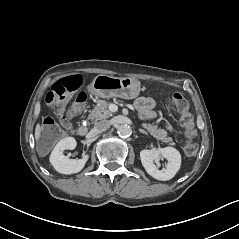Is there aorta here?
<instances>
[{
	"label": "aorta",
	"mask_w": 239,
	"mask_h": 239,
	"mask_svg": "<svg viewBox=\"0 0 239 239\" xmlns=\"http://www.w3.org/2000/svg\"><path fill=\"white\" fill-rule=\"evenodd\" d=\"M131 132V128L128 125H120L117 128V133L121 137H128Z\"/></svg>",
	"instance_id": "aorta-1"
}]
</instances>
